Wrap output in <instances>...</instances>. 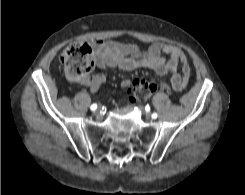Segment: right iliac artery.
<instances>
[{"label": "right iliac artery", "mask_w": 245, "mask_h": 195, "mask_svg": "<svg viewBox=\"0 0 245 195\" xmlns=\"http://www.w3.org/2000/svg\"><path fill=\"white\" fill-rule=\"evenodd\" d=\"M90 109L92 111H95L97 109V105L96 104H92L91 107H90Z\"/></svg>", "instance_id": "82829eb1"}]
</instances>
